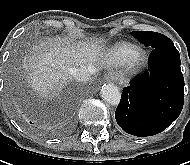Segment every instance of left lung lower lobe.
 <instances>
[{
  "label": "left lung lower lobe",
  "mask_w": 190,
  "mask_h": 165,
  "mask_svg": "<svg viewBox=\"0 0 190 165\" xmlns=\"http://www.w3.org/2000/svg\"><path fill=\"white\" fill-rule=\"evenodd\" d=\"M148 62L149 71L124 88L115 113L125 132L140 137L165 130L180 115L184 102L180 55L173 42L153 48Z\"/></svg>",
  "instance_id": "left-lung-lower-lobe-1"
}]
</instances>
